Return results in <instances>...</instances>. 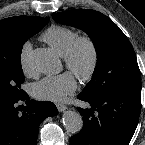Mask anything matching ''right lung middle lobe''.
<instances>
[{
	"instance_id": "obj_1",
	"label": "right lung middle lobe",
	"mask_w": 145,
	"mask_h": 145,
	"mask_svg": "<svg viewBox=\"0 0 145 145\" xmlns=\"http://www.w3.org/2000/svg\"><path fill=\"white\" fill-rule=\"evenodd\" d=\"M48 22L49 18H31L13 29L6 37L12 52L7 57H0V98H19L25 93L20 89L25 80L21 66L22 46Z\"/></svg>"
}]
</instances>
